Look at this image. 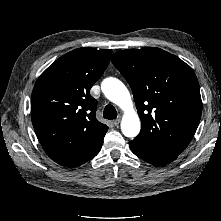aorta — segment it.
Masks as SVG:
<instances>
[{"label":"aorta","instance_id":"762f6f07","mask_svg":"<svg viewBox=\"0 0 221 221\" xmlns=\"http://www.w3.org/2000/svg\"><path fill=\"white\" fill-rule=\"evenodd\" d=\"M101 89L108 100L124 111L121 122L122 133L129 138L136 137L140 132L141 122L133 108V102L127 87L120 80L109 77L103 80Z\"/></svg>","mask_w":221,"mask_h":221}]
</instances>
